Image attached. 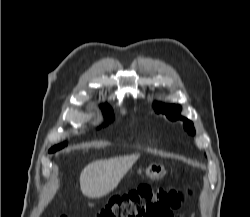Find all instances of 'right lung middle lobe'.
I'll return each mask as SVG.
<instances>
[{
    "label": "right lung middle lobe",
    "instance_id": "dd1d6c3e",
    "mask_svg": "<svg viewBox=\"0 0 250 217\" xmlns=\"http://www.w3.org/2000/svg\"><path fill=\"white\" fill-rule=\"evenodd\" d=\"M105 117H106L107 121L113 120V112H111V113L105 115ZM66 145H67V143H61V144H59V145H56V146L52 147V148L49 150V152H50V153L55 152V151H57V150H59V149H62V148L65 147Z\"/></svg>",
    "mask_w": 250,
    "mask_h": 217
}]
</instances>
